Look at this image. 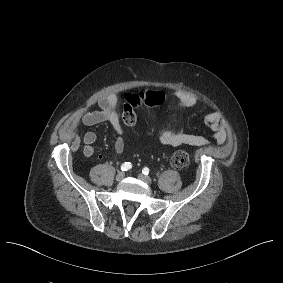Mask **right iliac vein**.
<instances>
[{
  "instance_id": "63e3f726",
  "label": "right iliac vein",
  "mask_w": 283,
  "mask_h": 283,
  "mask_svg": "<svg viewBox=\"0 0 283 283\" xmlns=\"http://www.w3.org/2000/svg\"><path fill=\"white\" fill-rule=\"evenodd\" d=\"M125 174L124 172H119L117 175H116V180L117 181H121L123 178H124Z\"/></svg>"
}]
</instances>
